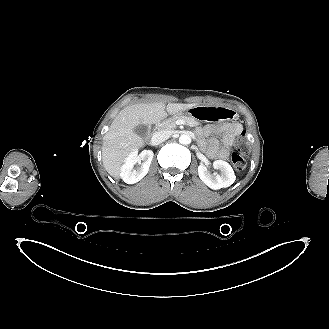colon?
<instances>
[{"label":"colon","instance_id":"1","mask_svg":"<svg viewBox=\"0 0 329 329\" xmlns=\"http://www.w3.org/2000/svg\"><path fill=\"white\" fill-rule=\"evenodd\" d=\"M238 151L232 155V162L236 170L245 168V156L248 153V141L245 132L241 133L236 141Z\"/></svg>","mask_w":329,"mask_h":329}]
</instances>
